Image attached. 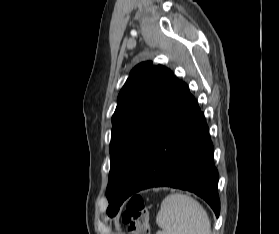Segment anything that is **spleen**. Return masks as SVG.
<instances>
[{"label": "spleen", "instance_id": "3e777b00", "mask_svg": "<svg viewBox=\"0 0 279 234\" xmlns=\"http://www.w3.org/2000/svg\"><path fill=\"white\" fill-rule=\"evenodd\" d=\"M156 234H211V223L203 206L188 195L174 193L161 203Z\"/></svg>", "mask_w": 279, "mask_h": 234}]
</instances>
